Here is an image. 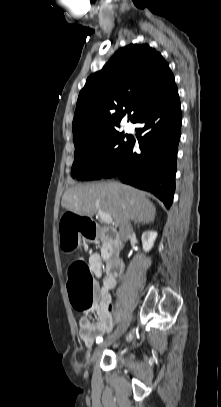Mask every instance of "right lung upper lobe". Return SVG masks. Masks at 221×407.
<instances>
[{
	"instance_id": "1",
	"label": "right lung upper lobe",
	"mask_w": 221,
	"mask_h": 407,
	"mask_svg": "<svg viewBox=\"0 0 221 407\" xmlns=\"http://www.w3.org/2000/svg\"><path fill=\"white\" fill-rule=\"evenodd\" d=\"M175 86L167 62L154 48L130 44L119 49L80 91L72 124L74 144L119 126L128 108L134 122Z\"/></svg>"
}]
</instances>
